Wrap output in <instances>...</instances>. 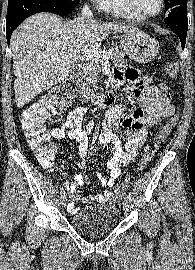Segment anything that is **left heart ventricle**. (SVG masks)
<instances>
[{"mask_svg": "<svg viewBox=\"0 0 195 270\" xmlns=\"http://www.w3.org/2000/svg\"><path fill=\"white\" fill-rule=\"evenodd\" d=\"M160 0H132L134 7L141 14H153L159 8Z\"/></svg>", "mask_w": 195, "mask_h": 270, "instance_id": "obj_1", "label": "left heart ventricle"}]
</instances>
